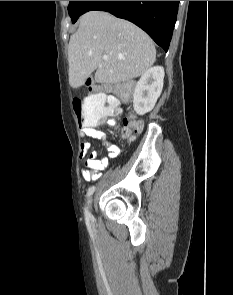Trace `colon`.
<instances>
[{"mask_svg": "<svg viewBox=\"0 0 233 295\" xmlns=\"http://www.w3.org/2000/svg\"><path fill=\"white\" fill-rule=\"evenodd\" d=\"M136 87L133 81L109 85H90L91 95L85 100L74 99L73 108L81 125H92L99 120L117 115L120 111L116 96L130 97ZM122 135L131 139L142 128V122L129 114L123 120Z\"/></svg>", "mask_w": 233, "mask_h": 295, "instance_id": "1", "label": "colon"}]
</instances>
